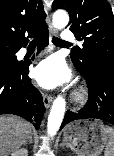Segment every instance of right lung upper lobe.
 <instances>
[{
    "label": "right lung upper lobe",
    "instance_id": "obj_1",
    "mask_svg": "<svg viewBox=\"0 0 114 156\" xmlns=\"http://www.w3.org/2000/svg\"><path fill=\"white\" fill-rule=\"evenodd\" d=\"M41 0H0V47L15 48L46 27Z\"/></svg>",
    "mask_w": 114,
    "mask_h": 156
}]
</instances>
